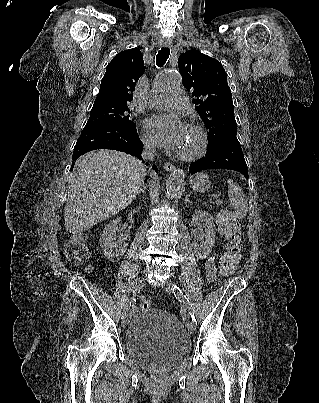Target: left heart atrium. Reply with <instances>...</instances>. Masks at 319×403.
I'll list each match as a JSON object with an SVG mask.
<instances>
[{
    "label": "left heart atrium",
    "mask_w": 319,
    "mask_h": 403,
    "mask_svg": "<svg viewBox=\"0 0 319 403\" xmlns=\"http://www.w3.org/2000/svg\"><path fill=\"white\" fill-rule=\"evenodd\" d=\"M146 129L158 145L179 150L186 138V127L174 115H156L146 121Z\"/></svg>",
    "instance_id": "left-heart-atrium-1"
}]
</instances>
